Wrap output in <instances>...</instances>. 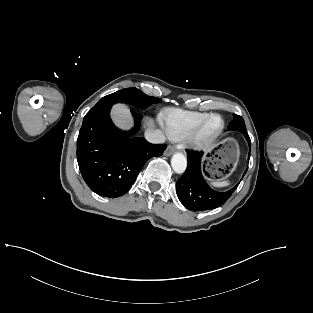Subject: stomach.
<instances>
[{"label":"stomach","mask_w":313,"mask_h":313,"mask_svg":"<svg viewBox=\"0 0 313 313\" xmlns=\"http://www.w3.org/2000/svg\"><path fill=\"white\" fill-rule=\"evenodd\" d=\"M238 159V143L232 138L225 139L205 154L206 173L214 180H223L234 171Z\"/></svg>","instance_id":"stomach-1"}]
</instances>
